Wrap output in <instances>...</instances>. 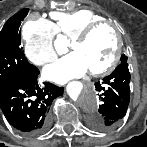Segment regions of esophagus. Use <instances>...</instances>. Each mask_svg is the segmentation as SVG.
<instances>
[{"mask_svg": "<svg viewBox=\"0 0 147 147\" xmlns=\"http://www.w3.org/2000/svg\"><path fill=\"white\" fill-rule=\"evenodd\" d=\"M87 85H89V86L92 87L93 86V83L92 82H88Z\"/></svg>", "mask_w": 147, "mask_h": 147, "instance_id": "obj_1", "label": "esophagus"}]
</instances>
